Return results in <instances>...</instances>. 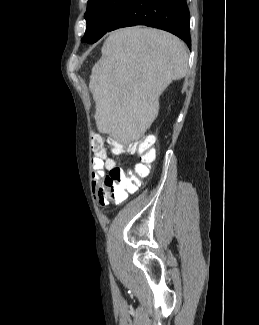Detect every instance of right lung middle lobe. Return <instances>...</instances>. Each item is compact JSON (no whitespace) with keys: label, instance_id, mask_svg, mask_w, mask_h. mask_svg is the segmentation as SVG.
<instances>
[{"label":"right lung middle lobe","instance_id":"dd1d6c3e","mask_svg":"<svg viewBox=\"0 0 259 325\" xmlns=\"http://www.w3.org/2000/svg\"><path fill=\"white\" fill-rule=\"evenodd\" d=\"M129 0H88L85 19L87 28L83 43L92 44L99 40Z\"/></svg>","mask_w":259,"mask_h":325}]
</instances>
